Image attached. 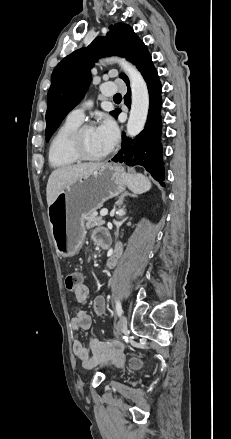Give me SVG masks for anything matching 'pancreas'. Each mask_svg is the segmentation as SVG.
<instances>
[{
  "instance_id": "obj_1",
  "label": "pancreas",
  "mask_w": 231,
  "mask_h": 439,
  "mask_svg": "<svg viewBox=\"0 0 231 439\" xmlns=\"http://www.w3.org/2000/svg\"><path fill=\"white\" fill-rule=\"evenodd\" d=\"M85 226L87 229L93 228L95 226H101L105 223L102 217H98L97 213H92L85 217Z\"/></svg>"
}]
</instances>
